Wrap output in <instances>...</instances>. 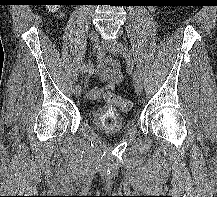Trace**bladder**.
I'll return each instance as SVG.
<instances>
[{
    "instance_id": "1",
    "label": "bladder",
    "mask_w": 217,
    "mask_h": 197,
    "mask_svg": "<svg viewBox=\"0 0 217 197\" xmlns=\"http://www.w3.org/2000/svg\"><path fill=\"white\" fill-rule=\"evenodd\" d=\"M95 126L107 134L121 133L126 130V121L117 111L109 113L107 109L96 110L92 115Z\"/></svg>"
}]
</instances>
